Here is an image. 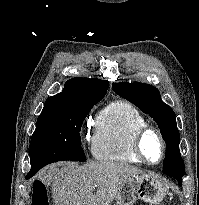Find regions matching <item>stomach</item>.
I'll return each mask as SVG.
<instances>
[{"label":"stomach","mask_w":199,"mask_h":205,"mask_svg":"<svg viewBox=\"0 0 199 205\" xmlns=\"http://www.w3.org/2000/svg\"><path fill=\"white\" fill-rule=\"evenodd\" d=\"M166 193L167 188L157 178L149 175L132 176L123 182L114 205H133L137 199L157 205Z\"/></svg>","instance_id":"stomach-1"}]
</instances>
